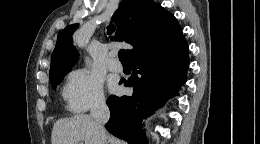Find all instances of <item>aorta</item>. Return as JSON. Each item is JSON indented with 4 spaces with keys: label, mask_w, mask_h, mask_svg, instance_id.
<instances>
[{
    "label": "aorta",
    "mask_w": 260,
    "mask_h": 144,
    "mask_svg": "<svg viewBox=\"0 0 260 144\" xmlns=\"http://www.w3.org/2000/svg\"><path fill=\"white\" fill-rule=\"evenodd\" d=\"M85 62H86V64H90L91 61H90L89 58H86V59H85Z\"/></svg>",
    "instance_id": "obj_1"
}]
</instances>
